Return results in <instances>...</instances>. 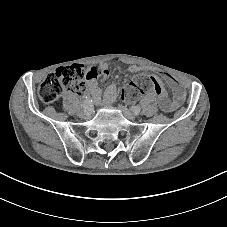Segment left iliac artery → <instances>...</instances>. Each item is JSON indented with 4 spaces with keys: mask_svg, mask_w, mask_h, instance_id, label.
<instances>
[{
    "mask_svg": "<svg viewBox=\"0 0 227 227\" xmlns=\"http://www.w3.org/2000/svg\"><path fill=\"white\" fill-rule=\"evenodd\" d=\"M132 111H133L135 114H138V113H140L141 108H140V106H136L135 108H134V107L132 108Z\"/></svg>",
    "mask_w": 227,
    "mask_h": 227,
    "instance_id": "1",
    "label": "left iliac artery"
}]
</instances>
